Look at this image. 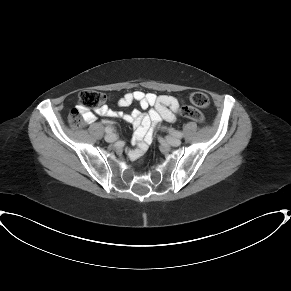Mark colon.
I'll use <instances>...</instances> for the list:
<instances>
[{
	"mask_svg": "<svg viewBox=\"0 0 291 291\" xmlns=\"http://www.w3.org/2000/svg\"><path fill=\"white\" fill-rule=\"evenodd\" d=\"M106 100V95L99 90H83L79 93V108L72 111L69 115V124L73 128H80L84 124V118L82 111L84 109H97L99 108ZM191 103L199 108H206L209 105L208 96L201 91H195L190 95ZM181 115L188 117L196 122L201 123L203 121L202 114L194 108H183L181 110Z\"/></svg>",
	"mask_w": 291,
	"mask_h": 291,
	"instance_id": "obj_1",
	"label": "colon"
}]
</instances>
